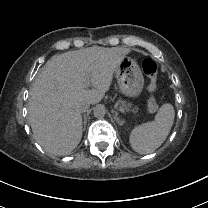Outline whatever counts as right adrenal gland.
<instances>
[{"mask_svg": "<svg viewBox=\"0 0 208 208\" xmlns=\"http://www.w3.org/2000/svg\"><path fill=\"white\" fill-rule=\"evenodd\" d=\"M84 118H86L85 114L83 115ZM84 127H86V120H84Z\"/></svg>", "mask_w": 208, "mask_h": 208, "instance_id": "right-adrenal-gland-1", "label": "right adrenal gland"}]
</instances>
